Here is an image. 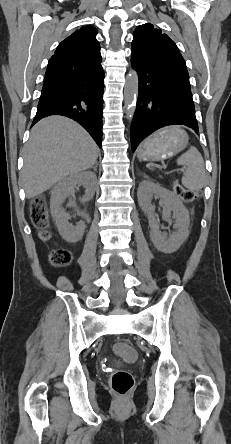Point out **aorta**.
Returning <instances> with one entry per match:
<instances>
[{
  "label": "aorta",
  "mask_w": 231,
  "mask_h": 444,
  "mask_svg": "<svg viewBox=\"0 0 231 444\" xmlns=\"http://www.w3.org/2000/svg\"><path fill=\"white\" fill-rule=\"evenodd\" d=\"M139 80L137 72L130 70L126 77L124 88V102L126 107V116L129 121L133 119L136 110V101L139 92Z\"/></svg>",
  "instance_id": "1"
}]
</instances>
